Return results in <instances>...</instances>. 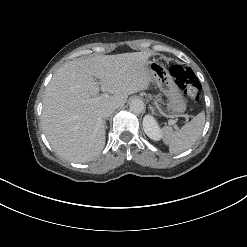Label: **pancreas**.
Here are the masks:
<instances>
[{
    "label": "pancreas",
    "instance_id": "obj_1",
    "mask_svg": "<svg viewBox=\"0 0 247 247\" xmlns=\"http://www.w3.org/2000/svg\"><path fill=\"white\" fill-rule=\"evenodd\" d=\"M156 101H161V98L157 95L155 96Z\"/></svg>",
    "mask_w": 247,
    "mask_h": 247
}]
</instances>
